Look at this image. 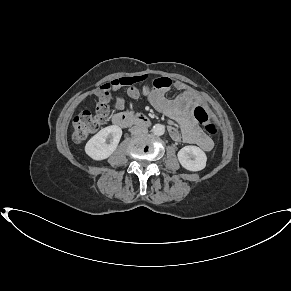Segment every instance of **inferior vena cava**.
Listing matches in <instances>:
<instances>
[{
    "instance_id": "602c4592",
    "label": "inferior vena cava",
    "mask_w": 291,
    "mask_h": 291,
    "mask_svg": "<svg viewBox=\"0 0 291 291\" xmlns=\"http://www.w3.org/2000/svg\"><path fill=\"white\" fill-rule=\"evenodd\" d=\"M147 131H148L147 128L146 127H143V126H133L130 129V132L132 134H135V135H137V134H144V133H147Z\"/></svg>"
}]
</instances>
